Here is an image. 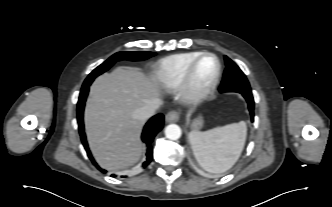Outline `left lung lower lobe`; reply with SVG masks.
<instances>
[{"label": "left lung lower lobe", "mask_w": 332, "mask_h": 207, "mask_svg": "<svg viewBox=\"0 0 332 207\" xmlns=\"http://www.w3.org/2000/svg\"><path fill=\"white\" fill-rule=\"evenodd\" d=\"M241 94L246 99V101L248 103L250 115H251L252 122H253V118H254V99H253V96H252V92H244V93H241Z\"/></svg>", "instance_id": "left-lung-lower-lobe-1"}]
</instances>
